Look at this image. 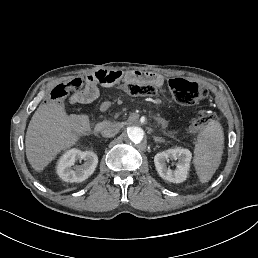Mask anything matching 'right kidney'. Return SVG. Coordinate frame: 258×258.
<instances>
[{"label": "right kidney", "mask_w": 258, "mask_h": 258, "mask_svg": "<svg viewBox=\"0 0 258 258\" xmlns=\"http://www.w3.org/2000/svg\"><path fill=\"white\" fill-rule=\"evenodd\" d=\"M76 159H83L86 162L83 166H76L70 169ZM98 164V157L93 151H81L78 147L66 150L58 159L56 174L65 182H82L86 180L95 170Z\"/></svg>", "instance_id": "right-kidney-1"}]
</instances>
